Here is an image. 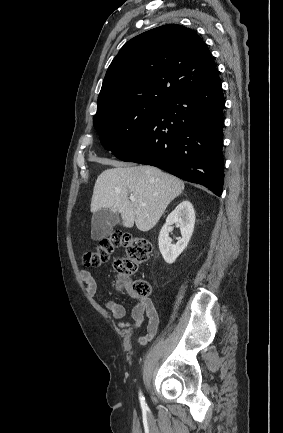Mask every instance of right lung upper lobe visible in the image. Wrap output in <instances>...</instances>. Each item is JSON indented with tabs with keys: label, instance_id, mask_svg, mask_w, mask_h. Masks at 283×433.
Instances as JSON below:
<instances>
[{
	"label": "right lung upper lobe",
	"instance_id": "cb5924a9",
	"mask_svg": "<svg viewBox=\"0 0 283 433\" xmlns=\"http://www.w3.org/2000/svg\"><path fill=\"white\" fill-rule=\"evenodd\" d=\"M218 77L211 53L196 32L163 25L121 48L105 75L97 113L130 103L165 104Z\"/></svg>",
	"mask_w": 283,
	"mask_h": 433
}]
</instances>
